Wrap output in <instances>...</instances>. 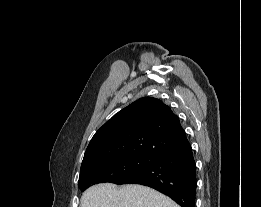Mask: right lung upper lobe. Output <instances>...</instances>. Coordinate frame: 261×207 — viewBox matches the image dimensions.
Here are the masks:
<instances>
[{
	"label": "right lung upper lobe",
	"instance_id": "1",
	"mask_svg": "<svg viewBox=\"0 0 261 207\" xmlns=\"http://www.w3.org/2000/svg\"><path fill=\"white\" fill-rule=\"evenodd\" d=\"M189 145L178 116L163 102L143 97L115 114L91 139L82 165L126 156L155 159Z\"/></svg>",
	"mask_w": 261,
	"mask_h": 207
}]
</instances>
